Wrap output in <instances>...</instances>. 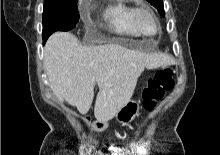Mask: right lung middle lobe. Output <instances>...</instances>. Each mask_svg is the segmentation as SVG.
I'll return each instance as SVG.
<instances>
[{
	"label": "right lung middle lobe",
	"instance_id": "1",
	"mask_svg": "<svg viewBox=\"0 0 220 155\" xmlns=\"http://www.w3.org/2000/svg\"><path fill=\"white\" fill-rule=\"evenodd\" d=\"M78 0H44L43 42L54 31H69L79 20Z\"/></svg>",
	"mask_w": 220,
	"mask_h": 155
}]
</instances>
